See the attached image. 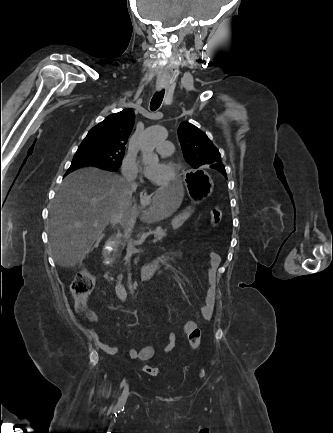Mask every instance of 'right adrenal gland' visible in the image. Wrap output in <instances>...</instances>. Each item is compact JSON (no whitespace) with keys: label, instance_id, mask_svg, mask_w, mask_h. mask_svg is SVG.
Here are the masks:
<instances>
[{"label":"right adrenal gland","instance_id":"2a0ac1e0","mask_svg":"<svg viewBox=\"0 0 333 433\" xmlns=\"http://www.w3.org/2000/svg\"><path fill=\"white\" fill-rule=\"evenodd\" d=\"M99 242H96L95 245L91 248L90 252L94 249L98 247Z\"/></svg>","mask_w":333,"mask_h":433}]
</instances>
